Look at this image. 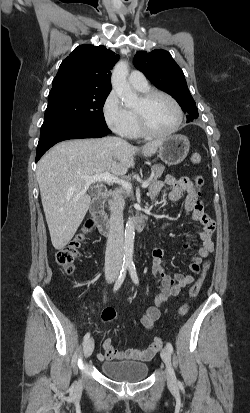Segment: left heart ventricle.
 Wrapping results in <instances>:
<instances>
[{
    "label": "left heart ventricle",
    "instance_id": "obj_1",
    "mask_svg": "<svg viewBox=\"0 0 250 413\" xmlns=\"http://www.w3.org/2000/svg\"><path fill=\"white\" fill-rule=\"evenodd\" d=\"M144 108L149 126L158 133L171 130L177 122V111L174 105L163 96H155L148 104L140 100L137 109Z\"/></svg>",
    "mask_w": 250,
    "mask_h": 413
}]
</instances>
